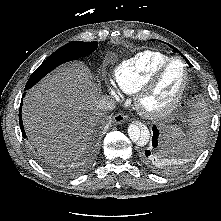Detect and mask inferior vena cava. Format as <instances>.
Masks as SVG:
<instances>
[{
	"mask_svg": "<svg viewBox=\"0 0 221 221\" xmlns=\"http://www.w3.org/2000/svg\"><path fill=\"white\" fill-rule=\"evenodd\" d=\"M115 108L114 100L109 98L108 96H102L98 103H97V109L99 111H109L113 110Z\"/></svg>",
	"mask_w": 221,
	"mask_h": 221,
	"instance_id": "1",
	"label": "inferior vena cava"
}]
</instances>
